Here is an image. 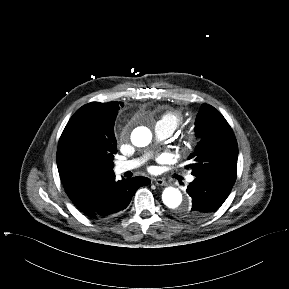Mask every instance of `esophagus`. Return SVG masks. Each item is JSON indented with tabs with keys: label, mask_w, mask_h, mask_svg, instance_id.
<instances>
[{
	"label": "esophagus",
	"mask_w": 289,
	"mask_h": 289,
	"mask_svg": "<svg viewBox=\"0 0 289 289\" xmlns=\"http://www.w3.org/2000/svg\"><path fill=\"white\" fill-rule=\"evenodd\" d=\"M153 181L155 182L156 185H159V186L167 185V182L161 178H157V179L155 178V179H153Z\"/></svg>",
	"instance_id": "34e87169"
}]
</instances>
